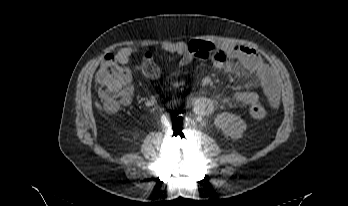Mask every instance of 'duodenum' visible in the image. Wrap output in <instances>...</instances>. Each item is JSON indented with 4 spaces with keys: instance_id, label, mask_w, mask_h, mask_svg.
<instances>
[{
    "instance_id": "410a0bca",
    "label": "duodenum",
    "mask_w": 348,
    "mask_h": 206,
    "mask_svg": "<svg viewBox=\"0 0 348 206\" xmlns=\"http://www.w3.org/2000/svg\"><path fill=\"white\" fill-rule=\"evenodd\" d=\"M182 104L186 107H192L194 108L197 112L206 114L210 111L211 105L210 103L202 98L195 97V96H190L186 98Z\"/></svg>"
}]
</instances>
